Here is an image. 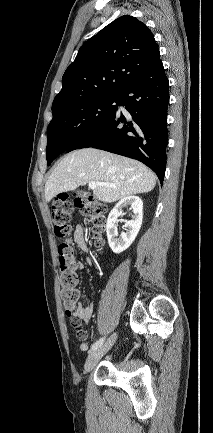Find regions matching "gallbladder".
<instances>
[{"label": "gallbladder", "instance_id": "gallbladder-1", "mask_svg": "<svg viewBox=\"0 0 213 433\" xmlns=\"http://www.w3.org/2000/svg\"><path fill=\"white\" fill-rule=\"evenodd\" d=\"M77 194H78L80 197H83V196L85 195V193H84L83 191H77Z\"/></svg>", "mask_w": 213, "mask_h": 433}]
</instances>
